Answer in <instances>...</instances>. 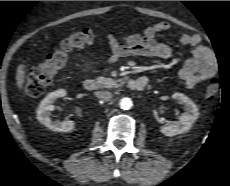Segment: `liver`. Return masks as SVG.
I'll return each mask as SVG.
<instances>
[{"instance_id":"1","label":"liver","mask_w":230,"mask_h":186,"mask_svg":"<svg viewBox=\"0 0 230 186\" xmlns=\"http://www.w3.org/2000/svg\"><path fill=\"white\" fill-rule=\"evenodd\" d=\"M25 81V65L20 64L16 71V83L19 89L23 88Z\"/></svg>"}]
</instances>
